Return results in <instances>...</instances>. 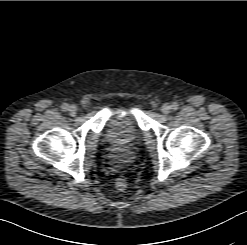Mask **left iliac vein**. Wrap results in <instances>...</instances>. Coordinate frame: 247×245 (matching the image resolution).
Segmentation results:
<instances>
[{
	"instance_id": "4c4485c4",
	"label": "left iliac vein",
	"mask_w": 247,
	"mask_h": 245,
	"mask_svg": "<svg viewBox=\"0 0 247 245\" xmlns=\"http://www.w3.org/2000/svg\"><path fill=\"white\" fill-rule=\"evenodd\" d=\"M161 111L165 115L169 114L171 111V105H169L168 103L163 104L161 107Z\"/></svg>"
}]
</instances>
